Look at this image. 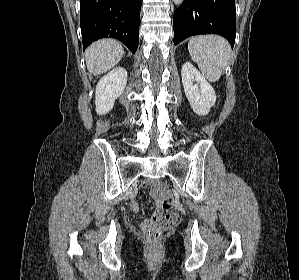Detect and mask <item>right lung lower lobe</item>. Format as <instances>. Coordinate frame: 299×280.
I'll use <instances>...</instances> for the list:
<instances>
[{
    "instance_id": "98d812e1",
    "label": "right lung lower lobe",
    "mask_w": 299,
    "mask_h": 280,
    "mask_svg": "<svg viewBox=\"0 0 299 280\" xmlns=\"http://www.w3.org/2000/svg\"><path fill=\"white\" fill-rule=\"evenodd\" d=\"M80 24L84 49L111 37L135 53L139 42L141 0H80Z\"/></svg>"
}]
</instances>
